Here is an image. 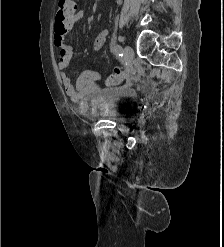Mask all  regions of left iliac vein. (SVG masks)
<instances>
[{"label":"left iliac vein","instance_id":"1","mask_svg":"<svg viewBox=\"0 0 224 247\" xmlns=\"http://www.w3.org/2000/svg\"><path fill=\"white\" fill-rule=\"evenodd\" d=\"M123 52H124L126 60L128 62H132V60L134 58V51H133L132 47L125 46Z\"/></svg>","mask_w":224,"mask_h":247}]
</instances>
